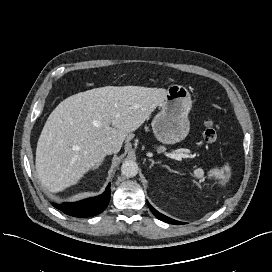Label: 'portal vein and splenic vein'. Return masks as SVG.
<instances>
[{"instance_id": "portal-vein-and-splenic-vein-1", "label": "portal vein and splenic vein", "mask_w": 272, "mask_h": 272, "mask_svg": "<svg viewBox=\"0 0 272 272\" xmlns=\"http://www.w3.org/2000/svg\"><path fill=\"white\" fill-rule=\"evenodd\" d=\"M167 157H170L172 159L181 160L182 158H189V154H183V153H166Z\"/></svg>"}]
</instances>
